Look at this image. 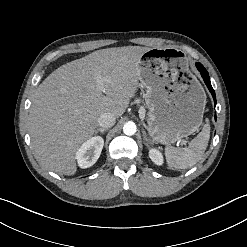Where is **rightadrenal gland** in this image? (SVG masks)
Segmentation results:
<instances>
[{
  "mask_svg": "<svg viewBox=\"0 0 247 247\" xmlns=\"http://www.w3.org/2000/svg\"><path fill=\"white\" fill-rule=\"evenodd\" d=\"M107 131V129H103V128H99V129H96L95 130V134H97V133H101V134H103L104 132H106Z\"/></svg>",
  "mask_w": 247,
  "mask_h": 247,
  "instance_id": "obj_1",
  "label": "right adrenal gland"
}]
</instances>
